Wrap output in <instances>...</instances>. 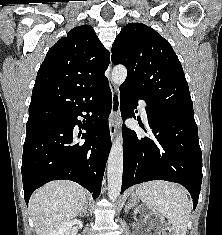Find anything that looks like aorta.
Wrapping results in <instances>:
<instances>
[{"instance_id":"1","label":"aorta","mask_w":222,"mask_h":235,"mask_svg":"<svg viewBox=\"0 0 222 235\" xmlns=\"http://www.w3.org/2000/svg\"><path fill=\"white\" fill-rule=\"evenodd\" d=\"M127 69L123 65H117L113 68L111 79L119 87L126 79ZM123 174V141L122 134L116 138L112 145L107 166L108 197L115 201L121 191Z\"/></svg>"}]
</instances>
